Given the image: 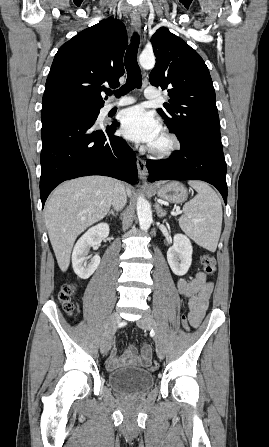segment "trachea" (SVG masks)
<instances>
[{
  "mask_svg": "<svg viewBox=\"0 0 269 447\" xmlns=\"http://www.w3.org/2000/svg\"><path fill=\"white\" fill-rule=\"evenodd\" d=\"M140 37L137 33H134L131 38V44L125 55V67L127 70V80L125 85H123L119 90L115 92L116 97L120 95H125L134 88H140L142 85L141 70L137 63V51L139 47ZM107 95H111L112 91H106Z\"/></svg>",
  "mask_w": 269,
  "mask_h": 447,
  "instance_id": "trachea-1",
  "label": "trachea"
}]
</instances>
